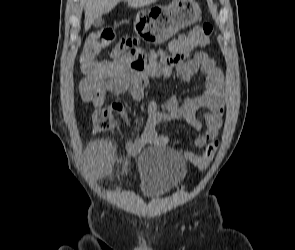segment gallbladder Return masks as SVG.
Segmentation results:
<instances>
[{"instance_id":"gallbladder-1","label":"gallbladder","mask_w":295,"mask_h":250,"mask_svg":"<svg viewBox=\"0 0 295 250\" xmlns=\"http://www.w3.org/2000/svg\"><path fill=\"white\" fill-rule=\"evenodd\" d=\"M104 24V20L101 17H98L94 20L93 26L101 27Z\"/></svg>"}]
</instances>
